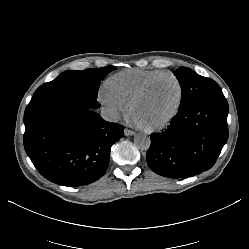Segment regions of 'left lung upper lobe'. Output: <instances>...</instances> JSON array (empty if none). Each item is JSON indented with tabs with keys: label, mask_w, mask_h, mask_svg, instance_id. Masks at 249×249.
Wrapping results in <instances>:
<instances>
[{
	"label": "left lung upper lobe",
	"mask_w": 249,
	"mask_h": 249,
	"mask_svg": "<svg viewBox=\"0 0 249 249\" xmlns=\"http://www.w3.org/2000/svg\"><path fill=\"white\" fill-rule=\"evenodd\" d=\"M174 75L177 77L182 90L179 109L202 98L223 95L220 86L214 80L200 76L187 67L175 70Z\"/></svg>",
	"instance_id": "1"
}]
</instances>
